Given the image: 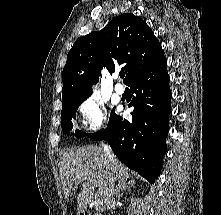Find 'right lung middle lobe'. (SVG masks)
<instances>
[{
	"label": "right lung middle lobe",
	"mask_w": 221,
	"mask_h": 215,
	"mask_svg": "<svg viewBox=\"0 0 221 215\" xmlns=\"http://www.w3.org/2000/svg\"><path fill=\"white\" fill-rule=\"evenodd\" d=\"M83 101L84 100L68 102V103L62 104V113H61L62 114V129L65 134L69 133L72 130L73 124L71 122V119L76 118V111H77L79 105L82 104ZM116 116L117 115L115 114V110L113 109L111 112V115H110L108 126L112 123V121L114 120V118ZM103 130L104 129H102L101 131H103ZM101 131H99V132H101ZM99 132H97V133H99ZM86 135H92V134L83 133L80 130L75 131V136L77 138H80V137H83Z\"/></svg>",
	"instance_id": "1"
}]
</instances>
